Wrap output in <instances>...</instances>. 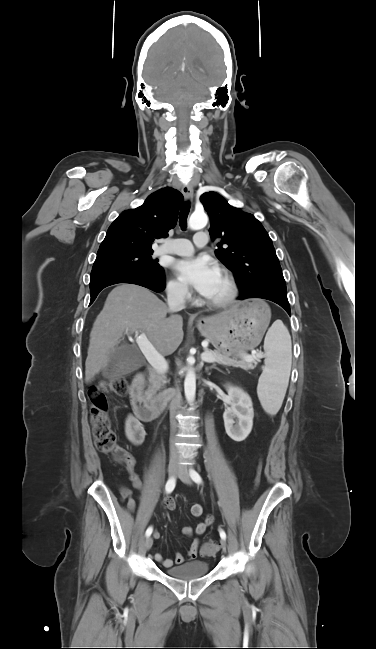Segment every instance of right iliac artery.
<instances>
[{"instance_id": "82829eb1", "label": "right iliac artery", "mask_w": 376, "mask_h": 649, "mask_svg": "<svg viewBox=\"0 0 376 649\" xmlns=\"http://www.w3.org/2000/svg\"><path fill=\"white\" fill-rule=\"evenodd\" d=\"M175 485H176V479H175L174 477H171V478L167 481V483H166V485H165V491H166V493H168V494L171 493V492L174 490ZM152 531H153V528H152V527H148V529L146 530V533H145L146 537H149V536L152 534Z\"/></svg>"}]
</instances>
